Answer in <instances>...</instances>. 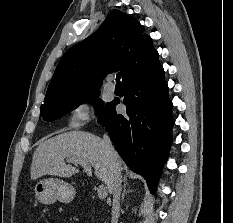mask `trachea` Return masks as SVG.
Returning <instances> with one entry per match:
<instances>
[{
    "label": "trachea",
    "instance_id": "trachea-1",
    "mask_svg": "<svg viewBox=\"0 0 233 223\" xmlns=\"http://www.w3.org/2000/svg\"><path fill=\"white\" fill-rule=\"evenodd\" d=\"M116 80H117V83H121V82H120V73H117V75H116Z\"/></svg>",
    "mask_w": 233,
    "mask_h": 223
}]
</instances>
